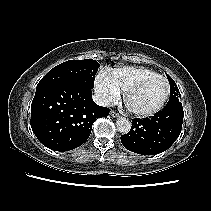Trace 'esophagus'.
I'll return each instance as SVG.
<instances>
[{
    "label": "esophagus",
    "instance_id": "obj_1",
    "mask_svg": "<svg viewBox=\"0 0 211 211\" xmlns=\"http://www.w3.org/2000/svg\"><path fill=\"white\" fill-rule=\"evenodd\" d=\"M110 115L112 116V117H114V118H116V117H119L120 115L117 113V112H115V111H110Z\"/></svg>",
    "mask_w": 211,
    "mask_h": 211
}]
</instances>
